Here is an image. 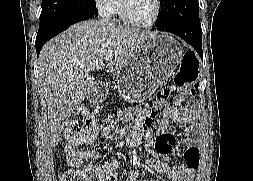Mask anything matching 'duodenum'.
Listing matches in <instances>:
<instances>
[{
    "mask_svg": "<svg viewBox=\"0 0 253 181\" xmlns=\"http://www.w3.org/2000/svg\"><path fill=\"white\" fill-rule=\"evenodd\" d=\"M106 94V87L103 84L95 85L88 93L93 102H101Z\"/></svg>",
    "mask_w": 253,
    "mask_h": 181,
    "instance_id": "duodenum-1",
    "label": "duodenum"
}]
</instances>
